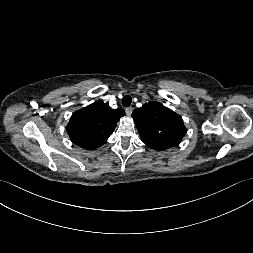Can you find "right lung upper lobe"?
<instances>
[{
  "mask_svg": "<svg viewBox=\"0 0 253 253\" xmlns=\"http://www.w3.org/2000/svg\"><path fill=\"white\" fill-rule=\"evenodd\" d=\"M124 115L123 109H112L109 104L96 101L72 114L67 133L75 145L95 149L108 140Z\"/></svg>",
  "mask_w": 253,
  "mask_h": 253,
  "instance_id": "cb5924a9",
  "label": "right lung upper lobe"
}]
</instances>
